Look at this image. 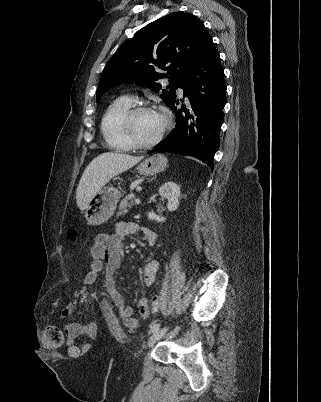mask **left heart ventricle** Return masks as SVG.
Returning <instances> with one entry per match:
<instances>
[{"mask_svg": "<svg viewBox=\"0 0 321 402\" xmlns=\"http://www.w3.org/2000/svg\"><path fill=\"white\" fill-rule=\"evenodd\" d=\"M164 125L163 116L157 111L137 114L133 121L134 133L141 142L154 139Z\"/></svg>", "mask_w": 321, "mask_h": 402, "instance_id": "1", "label": "left heart ventricle"}]
</instances>
